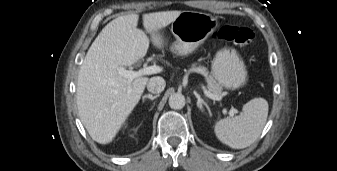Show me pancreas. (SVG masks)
Wrapping results in <instances>:
<instances>
[{
	"instance_id": "cf45deb5",
	"label": "pancreas",
	"mask_w": 337,
	"mask_h": 171,
	"mask_svg": "<svg viewBox=\"0 0 337 171\" xmlns=\"http://www.w3.org/2000/svg\"><path fill=\"white\" fill-rule=\"evenodd\" d=\"M192 70L204 75L206 83H207V88L209 91L215 95H220L222 92V86L214 79V77L209 74L208 70L206 67L203 66H198L196 67L193 65Z\"/></svg>"
}]
</instances>
